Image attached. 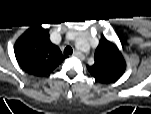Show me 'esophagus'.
<instances>
[{"label": "esophagus", "instance_id": "esophagus-1", "mask_svg": "<svg viewBox=\"0 0 151 114\" xmlns=\"http://www.w3.org/2000/svg\"><path fill=\"white\" fill-rule=\"evenodd\" d=\"M73 55L77 58L84 59V55L78 50L74 51Z\"/></svg>", "mask_w": 151, "mask_h": 114}]
</instances>
